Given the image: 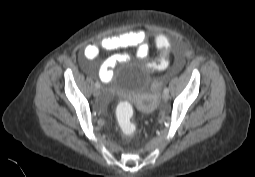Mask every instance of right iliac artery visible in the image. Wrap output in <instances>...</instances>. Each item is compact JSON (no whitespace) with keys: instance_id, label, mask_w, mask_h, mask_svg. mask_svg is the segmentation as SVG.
<instances>
[{"instance_id":"82829eb1","label":"right iliac artery","mask_w":255,"mask_h":177,"mask_svg":"<svg viewBox=\"0 0 255 177\" xmlns=\"http://www.w3.org/2000/svg\"><path fill=\"white\" fill-rule=\"evenodd\" d=\"M95 87L100 88V83L98 81L95 83Z\"/></svg>"}]
</instances>
